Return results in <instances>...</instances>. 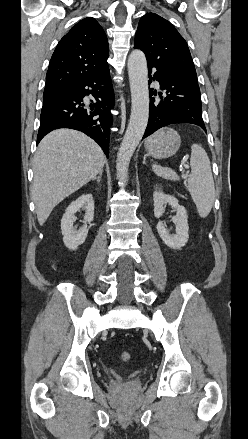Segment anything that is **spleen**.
<instances>
[{
	"mask_svg": "<svg viewBox=\"0 0 248 439\" xmlns=\"http://www.w3.org/2000/svg\"><path fill=\"white\" fill-rule=\"evenodd\" d=\"M191 173L187 179L186 188L196 205L200 217L205 218L210 213L215 200V186L209 157L200 144L191 148ZM156 175L171 180H179V176L170 168L153 165Z\"/></svg>",
	"mask_w": 248,
	"mask_h": 439,
	"instance_id": "1",
	"label": "spleen"
}]
</instances>
